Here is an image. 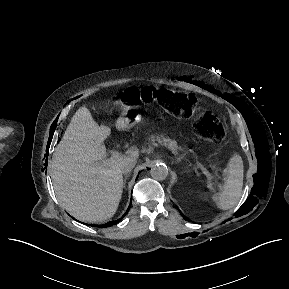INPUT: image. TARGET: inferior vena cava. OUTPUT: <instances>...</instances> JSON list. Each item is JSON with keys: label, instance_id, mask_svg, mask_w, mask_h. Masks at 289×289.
Returning <instances> with one entry per match:
<instances>
[{"label": "inferior vena cava", "instance_id": "602c4592", "mask_svg": "<svg viewBox=\"0 0 289 289\" xmlns=\"http://www.w3.org/2000/svg\"><path fill=\"white\" fill-rule=\"evenodd\" d=\"M135 164H136V159H127L119 165V169H120L121 173L127 174V173L131 172V170L134 168Z\"/></svg>", "mask_w": 289, "mask_h": 289}]
</instances>
